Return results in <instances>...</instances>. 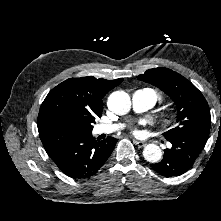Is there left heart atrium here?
<instances>
[{"label":"left heart atrium","mask_w":221,"mask_h":221,"mask_svg":"<svg viewBox=\"0 0 221 221\" xmlns=\"http://www.w3.org/2000/svg\"><path fill=\"white\" fill-rule=\"evenodd\" d=\"M132 132H133L134 134H138V130H137V129H133Z\"/></svg>","instance_id":"obj_1"}]
</instances>
